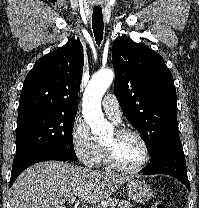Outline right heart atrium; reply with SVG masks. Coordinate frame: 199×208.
Masks as SVG:
<instances>
[{
	"instance_id": "1",
	"label": "right heart atrium",
	"mask_w": 199,
	"mask_h": 208,
	"mask_svg": "<svg viewBox=\"0 0 199 208\" xmlns=\"http://www.w3.org/2000/svg\"><path fill=\"white\" fill-rule=\"evenodd\" d=\"M70 138L73 150L80 161L87 166H95L100 152V145L92 137L86 122L76 117L73 121Z\"/></svg>"
}]
</instances>
